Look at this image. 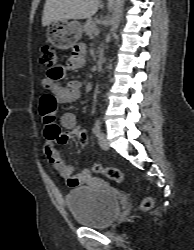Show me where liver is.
<instances>
[{"mask_svg": "<svg viewBox=\"0 0 194 250\" xmlns=\"http://www.w3.org/2000/svg\"><path fill=\"white\" fill-rule=\"evenodd\" d=\"M101 7L100 0H46L42 26L54 21L91 18Z\"/></svg>", "mask_w": 194, "mask_h": 250, "instance_id": "1", "label": "liver"}]
</instances>
